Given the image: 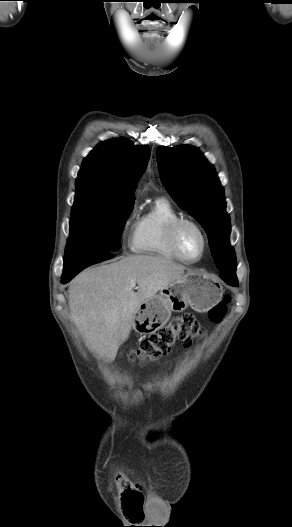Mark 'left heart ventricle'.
Wrapping results in <instances>:
<instances>
[{"label":"left heart ventricle","instance_id":"b2bd125f","mask_svg":"<svg viewBox=\"0 0 292 527\" xmlns=\"http://www.w3.org/2000/svg\"><path fill=\"white\" fill-rule=\"evenodd\" d=\"M178 243L182 254L189 259H196L201 254L202 237L198 230L191 225H184L180 229Z\"/></svg>","mask_w":292,"mask_h":527}]
</instances>
